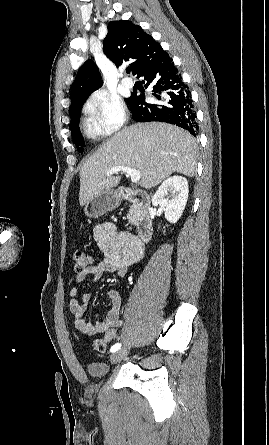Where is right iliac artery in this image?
I'll list each match as a JSON object with an SVG mask.
<instances>
[{
  "label": "right iliac artery",
  "mask_w": 269,
  "mask_h": 445,
  "mask_svg": "<svg viewBox=\"0 0 269 445\" xmlns=\"http://www.w3.org/2000/svg\"><path fill=\"white\" fill-rule=\"evenodd\" d=\"M121 347L120 343H116L115 345H113L110 349L111 352H116L117 350H119Z\"/></svg>",
  "instance_id": "right-iliac-artery-1"
}]
</instances>
